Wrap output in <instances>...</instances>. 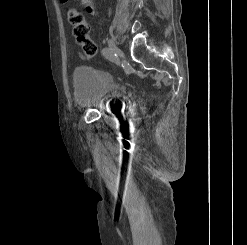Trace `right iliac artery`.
Returning a JSON list of instances; mask_svg holds the SVG:
<instances>
[{
  "instance_id": "82829eb1",
  "label": "right iliac artery",
  "mask_w": 247,
  "mask_h": 245,
  "mask_svg": "<svg viewBox=\"0 0 247 245\" xmlns=\"http://www.w3.org/2000/svg\"><path fill=\"white\" fill-rule=\"evenodd\" d=\"M102 55L108 59V57H118L117 54H115L110 48H103L102 49ZM119 63V61H118Z\"/></svg>"
}]
</instances>
